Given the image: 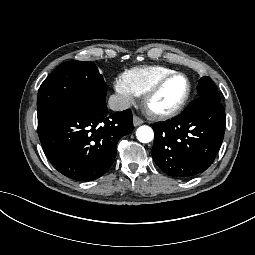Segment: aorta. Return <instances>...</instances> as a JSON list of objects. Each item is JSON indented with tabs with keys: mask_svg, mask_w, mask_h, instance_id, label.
<instances>
[{
	"mask_svg": "<svg viewBox=\"0 0 255 255\" xmlns=\"http://www.w3.org/2000/svg\"><path fill=\"white\" fill-rule=\"evenodd\" d=\"M137 139L142 143H149L154 137V132L149 126H140L136 131Z\"/></svg>",
	"mask_w": 255,
	"mask_h": 255,
	"instance_id": "aorta-1",
	"label": "aorta"
}]
</instances>
